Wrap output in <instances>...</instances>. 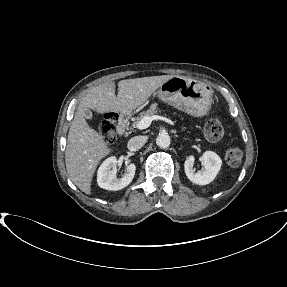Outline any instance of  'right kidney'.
<instances>
[{"mask_svg": "<svg viewBox=\"0 0 287 287\" xmlns=\"http://www.w3.org/2000/svg\"><path fill=\"white\" fill-rule=\"evenodd\" d=\"M135 170V164L131 163L127 166L126 173L121 178H117V159L114 156L109 157L98 169L97 183L106 190H121L132 182Z\"/></svg>", "mask_w": 287, "mask_h": 287, "instance_id": "obj_1", "label": "right kidney"}]
</instances>
